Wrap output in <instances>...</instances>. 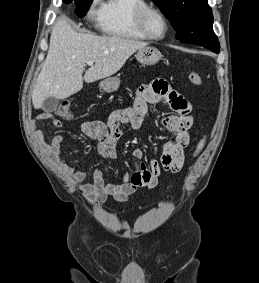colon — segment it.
I'll use <instances>...</instances> for the list:
<instances>
[{
    "instance_id": "1",
    "label": "colon",
    "mask_w": 259,
    "mask_h": 283,
    "mask_svg": "<svg viewBox=\"0 0 259 283\" xmlns=\"http://www.w3.org/2000/svg\"><path fill=\"white\" fill-rule=\"evenodd\" d=\"M188 79H189L190 83L195 85V86H202L203 85V79H202L201 75L194 70L189 72ZM55 114L61 119H65V120L71 119L72 116H73L71 101L70 100H64L55 110ZM204 145H205V141L202 140L198 144V151H201L203 149Z\"/></svg>"
}]
</instances>
